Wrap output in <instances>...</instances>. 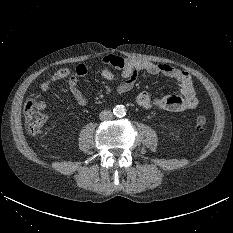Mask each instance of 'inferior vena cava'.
Here are the masks:
<instances>
[{
	"mask_svg": "<svg viewBox=\"0 0 233 233\" xmlns=\"http://www.w3.org/2000/svg\"><path fill=\"white\" fill-rule=\"evenodd\" d=\"M101 120H110L113 118V113L110 110H103L99 114Z\"/></svg>",
	"mask_w": 233,
	"mask_h": 233,
	"instance_id": "602c4592",
	"label": "inferior vena cava"
}]
</instances>
